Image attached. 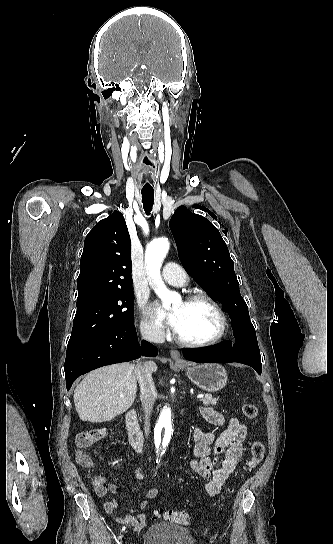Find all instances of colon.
I'll use <instances>...</instances> for the list:
<instances>
[{
    "label": "colon",
    "instance_id": "colon-1",
    "mask_svg": "<svg viewBox=\"0 0 333 544\" xmlns=\"http://www.w3.org/2000/svg\"><path fill=\"white\" fill-rule=\"evenodd\" d=\"M242 412L248 419H256L258 416V408L254 404L245 403L242 406ZM107 434L105 429H89L82 431L76 437L77 448V461L85 467L91 468L93 466L92 458L85 452L87 448L101 441ZM265 448L262 442L254 441L250 446V454L247 458L244 470L251 472L254 470L263 460ZM163 517L170 522L189 525L191 522V516L183 511L167 510V511H155L152 515L153 519Z\"/></svg>",
    "mask_w": 333,
    "mask_h": 544
}]
</instances>
